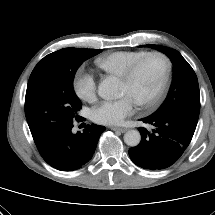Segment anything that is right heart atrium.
Segmentation results:
<instances>
[{"instance_id":"d8ad5b80","label":"right heart atrium","mask_w":215,"mask_h":215,"mask_svg":"<svg viewBox=\"0 0 215 215\" xmlns=\"http://www.w3.org/2000/svg\"><path fill=\"white\" fill-rule=\"evenodd\" d=\"M74 90L77 96L87 102H92L96 97V82L90 72L80 70L76 73Z\"/></svg>"}]
</instances>
